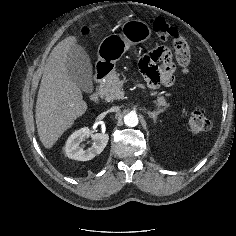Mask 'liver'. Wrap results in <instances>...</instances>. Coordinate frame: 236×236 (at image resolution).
<instances>
[{
	"instance_id": "1",
	"label": "liver",
	"mask_w": 236,
	"mask_h": 236,
	"mask_svg": "<svg viewBox=\"0 0 236 236\" xmlns=\"http://www.w3.org/2000/svg\"><path fill=\"white\" fill-rule=\"evenodd\" d=\"M96 26L98 25L92 27ZM76 43L74 36L63 39L46 60L35 117L40 141L47 149L52 148L88 108L80 88L70 78L66 68L68 54Z\"/></svg>"
}]
</instances>
